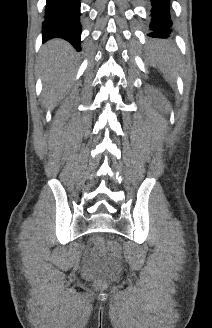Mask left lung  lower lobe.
<instances>
[{
  "instance_id": "obj_1",
  "label": "left lung lower lobe",
  "mask_w": 212,
  "mask_h": 328,
  "mask_svg": "<svg viewBox=\"0 0 212 328\" xmlns=\"http://www.w3.org/2000/svg\"><path fill=\"white\" fill-rule=\"evenodd\" d=\"M152 5L150 37L168 38L171 34L172 21L170 20L169 2L170 0H150Z\"/></svg>"
}]
</instances>
